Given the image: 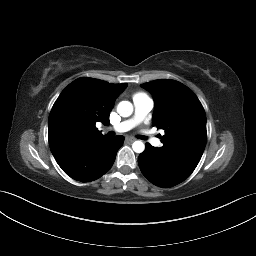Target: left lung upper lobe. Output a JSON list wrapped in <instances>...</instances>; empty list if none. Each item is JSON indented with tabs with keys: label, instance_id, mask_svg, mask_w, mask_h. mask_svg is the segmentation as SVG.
I'll use <instances>...</instances> for the list:
<instances>
[{
	"label": "left lung upper lobe",
	"instance_id": "5c2ea615",
	"mask_svg": "<svg viewBox=\"0 0 256 256\" xmlns=\"http://www.w3.org/2000/svg\"><path fill=\"white\" fill-rule=\"evenodd\" d=\"M141 87L154 97L153 126L165 130L159 151L196 167L207 140L206 115L197 96L175 80H155Z\"/></svg>",
	"mask_w": 256,
	"mask_h": 256
}]
</instances>
